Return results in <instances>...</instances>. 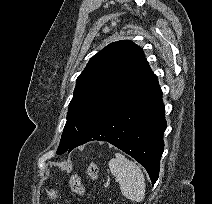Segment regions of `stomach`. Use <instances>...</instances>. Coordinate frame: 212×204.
<instances>
[{"label":"stomach","mask_w":212,"mask_h":204,"mask_svg":"<svg viewBox=\"0 0 212 204\" xmlns=\"http://www.w3.org/2000/svg\"><path fill=\"white\" fill-rule=\"evenodd\" d=\"M49 195H50L51 197H56V193H55L54 190L50 191V192H49Z\"/></svg>","instance_id":"1"}]
</instances>
